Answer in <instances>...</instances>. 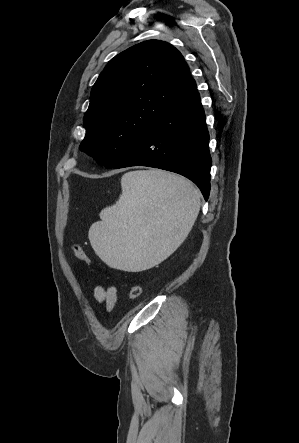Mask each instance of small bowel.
I'll return each mask as SVG.
<instances>
[{
	"label": "small bowel",
	"instance_id": "1",
	"mask_svg": "<svg viewBox=\"0 0 299 443\" xmlns=\"http://www.w3.org/2000/svg\"><path fill=\"white\" fill-rule=\"evenodd\" d=\"M94 297L98 303H103L106 309L110 311L117 300V289L114 286L104 287L98 285L94 289Z\"/></svg>",
	"mask_w": 299,
	"mask_h": 443
}]
</instances>
